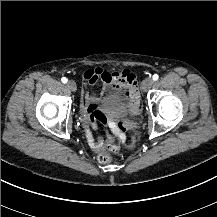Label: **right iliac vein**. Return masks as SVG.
<instances>
[{"label":"right iliac vein","mask_w":217,"mask_h":217,"mask_svg":"<svg viewBox=\"0 0 217 217\" xmlns=\"http://www.w3.org/2000/svg\"><path fill=\"white\" fill-rule=\"evenodd\" d=\"M66 86H67V88H69L73 92H75L77 90L76 83L72 80L68 81Z\"/></svg>","instance_id":"63e3f726"}]
</instances>
